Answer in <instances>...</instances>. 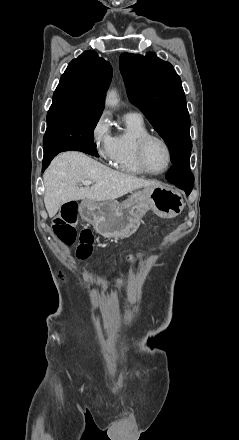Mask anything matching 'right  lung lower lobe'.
<instances>
[{
	"mask_svg": "<svg viewBox=\"0 0 239 440\" xmlns=\"http://www.w3.org/2000/svg\"><path fill=\"white\" fill-rule=\"evenodd\" d=\"M67 150H76V151H82L84 153L93 155L98 157V153L97 150L95 148V145H88V144H83V143H72L60 150H57L55 152H52L50 154L44 155V159H43V171L45 170V168L50 164L51 160L60 152L63 151H67Z\"/></svg>",
	"mask_w": 239,
	"mask_h": 440,
	"instance_id": "98d812e1",
	"label": "right lung lower lobe"
}]
</instances>
